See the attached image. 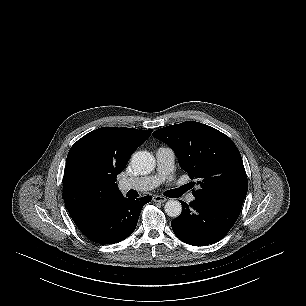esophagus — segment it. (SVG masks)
Here are the masks:
<instances>
[{
    "instance_id": "1",
    "label": "esophagus",
    "mask_w": 306,
    "mask_h": 306,
    "mask_svg": "<svg viewBox=\"0 0 306 306\" xmlns=\"http://www.w3.org/2000/svg\"><path fill=\"white\" fill-rule=\"evenodd\" d=\"M152 200H153L154 202L164 203V202L167 201V198L164 197V196H160V195H154V196L152 197Z\"/></svg>"
}]
</instances>
